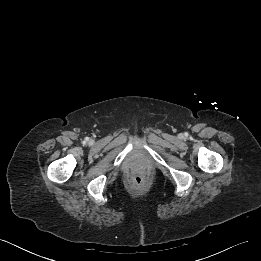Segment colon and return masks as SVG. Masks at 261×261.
<instances>
[{
    "label": "colon",
    "mask_w": 261,
    "mask_h": 261,
    "mask_svg": "<svg viewBox=\"0 0 261 261\" xmlns=\"http://www.w3.org/2000/svg\"><path fill=\"white\" fill-rule=\"evenodd\" d=\"M136 184H142L144 182V176L141 173H135L132 177Z\"/></svg>",
    "instance_id": "1"
}]
</instances>
